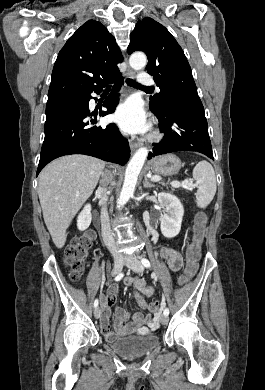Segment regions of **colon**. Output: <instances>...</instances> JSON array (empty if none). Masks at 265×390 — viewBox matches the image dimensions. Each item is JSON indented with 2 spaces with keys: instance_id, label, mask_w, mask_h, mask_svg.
<instances>
[{
  "instance_id": "5ec220e1",
  "label": "colon",
  "mask_w": 265,
  "mask_h": 390,
  "mask_svg": "<svg viewBox=\"0 0 265 390\" xmlns=\"http://www.w3.org/2000/svg\"><path fill=\"white\" fill-rule=\"evenodd\" d=\"M205 221L206 215L204 213H199L194 226L192 242L188 245L186 250V263L184 266V273L179 279L180 284H186L197 272L198 261L201 257V246L204 239L203 225ZM94 238L95 235L93 231H85L81 235L75 237L66 248L65 264L69 268L70 279L74 282L79 281L82 277ZM149 306L150 312L154 316H158L164 307V301H155Z\"/></svg>"
}]
</instances>
